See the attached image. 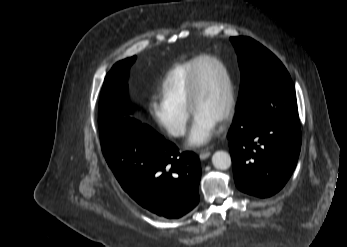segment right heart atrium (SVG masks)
Listing matches in <instances>:
<instances>
[{
	"label": "right heart atrium",
	"instance_id": "d8ad5b80",
	"mask_svg": "<svg viewBox=\"0 0 347 247\" xmlns=\"http://www.w3.org/2000/svg\"><path fill=\"white\" fill-rule=\"evenodd\" d=\"M158 124L172 137H182L187 129L190 114L187 107L170 104L161 99L151 105Z\"/></svg>",
	"mask_w": 347,
	"mask_h": 247
}]
</instances>
